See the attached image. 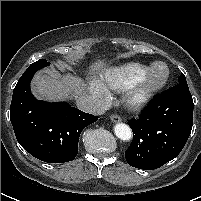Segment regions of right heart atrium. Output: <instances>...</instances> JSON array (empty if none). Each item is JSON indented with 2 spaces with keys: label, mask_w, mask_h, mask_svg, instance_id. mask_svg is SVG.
<instances>
[{
  "label": "right heart atrium",
  "mask_w": 201,
  "mask_h": 201,
  "mask_svg": "<svg viewBox=\"0 0 201 201\" xmlns=\"http://www.w3.org/2000/svg\"><path fill=\"white\" fill-rule=\"evenodd\" d=\"M90 92L98 107H103L109 101L110 95L107 88L98 80L90 84Z\"/></svg>",
  "instance_id": "obj_1"
}]
</instances>
